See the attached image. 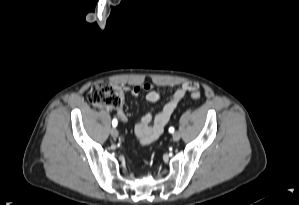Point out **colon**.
I'll return each mask as SVG.
<instances>
[{"label":"colon","mask_w":299,"mask_h":205,"mask_svg":"<svg viewBox=\"0 0 299 205\" xmlns=\"http://www.w3.org/2000/svg\"><path fill=\"white\" fill-rule=\"evenodd\" d=\"M191 97L194 100H199L201 94L197 90L191 91ZM88 99L91 104L107 109H116L122 105L124 99L123 90L106 81H97L93 84L88 94Z\"/></svg>","instance_id":"colon-1"}]
</instances>
